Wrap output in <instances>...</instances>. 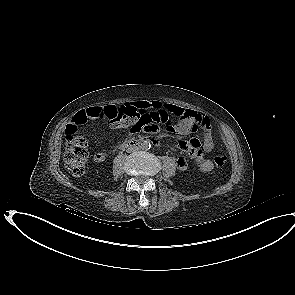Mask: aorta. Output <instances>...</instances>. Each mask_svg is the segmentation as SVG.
<instances>
[{"instance_id": "1", "label": "aorta", "mask_w": 295, "mask_h": 295, "mask_svg": "<svg viewBox=\"0 0 295 295\" xmlns=\"http://www.w3.org/2000/svg\"><path fill=\"white\" fill-rule=\"evenodd\" d=\"M150 147H151L150 140H144V141H142V142L140 143V148H141L142 150L147 151V150L150 149Z\"/></svg>"}]
</instances>
